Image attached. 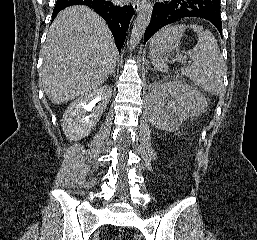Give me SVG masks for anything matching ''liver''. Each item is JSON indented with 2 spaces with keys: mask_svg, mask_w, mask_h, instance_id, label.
<instances>
[{
  "mask_svg": "<svg viewBox=\"0 0 257 240\" xmlns=\"http://www.w3.org/2000/svg\"><path fill=\"white\" fill-rule=\"evenodd\" d=\"M40 71L47 97L62 104L97 89L115 69L117 48L105 21L77 5L62 10L50 26Z\"/></svg>",
  "mask_w": 257,
  "mask_h": 240,
  "instance_id": "liver-1",
  "label": "liver"
}]
</instances>
